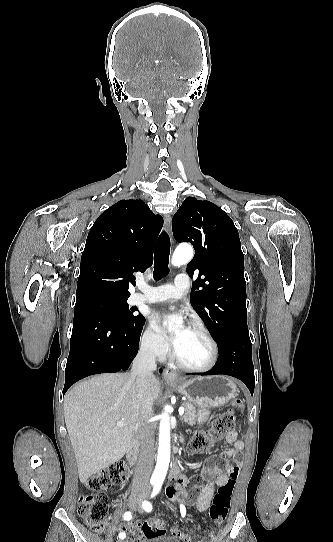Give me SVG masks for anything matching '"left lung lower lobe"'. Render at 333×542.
Masks as SVG:
<instances>
[{
    "instance_id": "obj_1",
    "label": "left lung lower lobe",
    "mask_w": 333,
    "mask_h": 542,
    "mask_svg": "<svg viewBox=\"0 0 333 542\" xmlns=\"http://www.w3.org/2000/svg\"><path fill=\"white\" fill-rule=\"evenodd\" d=\"M218 360L215 366L199 375L224 374L242 380L253 393L255 386L252 345L248 330L230 332L218 347Z\"/></svg>"
}]
</instances>
